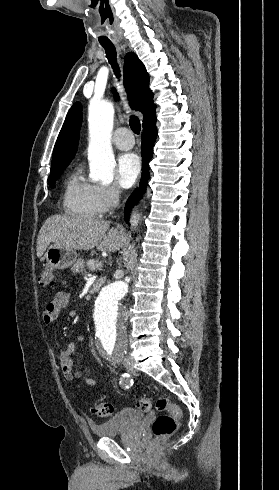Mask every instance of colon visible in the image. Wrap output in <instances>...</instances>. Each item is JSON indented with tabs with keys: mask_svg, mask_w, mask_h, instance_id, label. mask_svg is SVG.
Wrapping results in <instances>:
<instances>
[{
	"mask_svg": "<svg viewBox=\"0 0 279 490\" xmlns=\"http://www.w3.org/2000/svg\"><path fill=\"white\" fill-rule=\"evenodd\" d=\"M56 278L54 270L51 267H45L42 271L39 282L43 286H53ZM158 415L152 425L153 434L157 442H170L171 435L177 429V420L182 416L181 410L173 404L169 397H161L157 400ZM137 408L140 411H149L151 409V399L141 398L137 402ZM92 412L100 417H109L114 413V408L110 402H96L93 405Z\"/></svg>",
	"mask_w": 279,
	"mask_h": 490,
	"instance_id": "obj_1",
	"label": "colon"
}]
</instances>
